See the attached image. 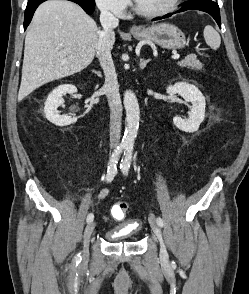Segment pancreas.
I'll list each match as a JSON object with an SVG mask.
<instances>
[{"mask_svg": "<svg viewBox=\"0 0 249 294\" xmlns=\"http://www.w3.org/2000/svg\"><path fill=\"white\" fill-rule=\"evenodd\" d=\"M179 66L181 67H187L192 70H201L202 69V63H200L195 55H189L184 60L179 62Z\"/></svg>", "mask_w": 249, "mask_h": 294, "instance_id": "1", "label": "pancreas"}]
</instances>
